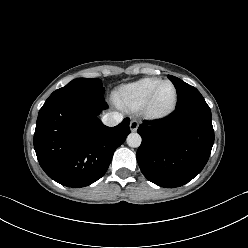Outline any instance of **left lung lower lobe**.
I'll return each instance as SVG.
<instances>
[{
  "instance_id": "1",
  "label": "left lung lower lobe",
  "mask_w": 248,
  "mask_h": 248,
  "mask_svg": "<svg viewBox=\"0 0 248 248\" xmlns=\"http://www.w3.org/2000/svg\"><path fill=\"white\" fill-rule=\"evenodd\" d=\"M142 143L137 161L143 175L154 184L179 187L199 174L214 143L211 111L204 99L177 107L166 120L141 125Z\"/></svg>"
}]
</instances>
